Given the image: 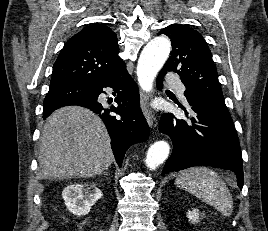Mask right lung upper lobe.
<instances>
[{
  "instance_id": "1",
  "label": "right lung upper lobe",
  "mask_w": 268,
  "mask_h": 231,
  "mask_svg": "<svg viewBox=\"0 0 268 231\" xmlns=\"http://www.w3.org/2000/svg\"><path fill=\"white\" fill-rule=\"evenodd\" d=\"M116 34L107 26H88L71 37L61 50L52 72L50 85L69 83L90 87L125 62L118 56ZM43 104L45 109L66 103Z\"/></svg>"
}]
</instances>
